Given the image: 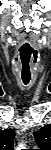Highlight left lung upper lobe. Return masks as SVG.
I'll list each match as a JSON object with an SVG mask.
<instances>
[{
	"label": "left lung upper lobe",
	"instance_id": "left-lung-upper-lobe-1",
	"mask_svg": "<svg viewBox=\"0 0 51 150\" xmlns=\"http://www.w3.org/2000/svg\"><path fill=\"white\" fill-rule=\"evenodd\" d=\"M35 141L40 150H47L51 147V125H45L38 132L34 133Z\"/></svg>",
	"mask_w": 51,
	"mask_h": 150
}]
</instances>
